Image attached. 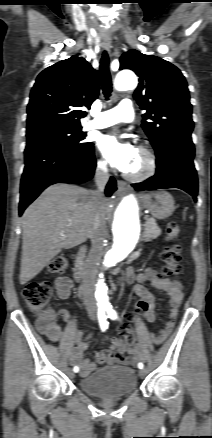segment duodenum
Returning a JSON list of instances; mask_svg holds the SVG:
<instances>
[{
    "mask_svg": "<svg viewBox=\"0 0 212 438\" xmlns=\"http://www.w3.org/2000/svg\"><path fill=\"white\" fill-rule=\"evenodd\" d=\"M85 255H86V249L81 248L76 256L74 272L77 279H80L82 277Z\"/></svg>",
    "mask_w": 212,
    "mask_h": 438,
    "instance_id": "1",
    "label": "duodenum"
}]
</instances>
